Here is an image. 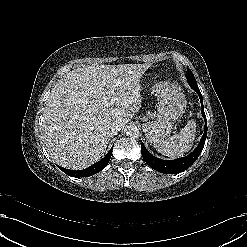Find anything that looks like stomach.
Returning <instances> with one entry per match:
<instances>
[{"mask_svg":"<svg viewBox=\"0 0 247 247\" xmlns=\"http://www.w3.org/2000/svg\"><path fill=\"white\" fill-rule=\"evenodd\" d=\"M152 93L158 97V118L144 125V132L149 142L157 143L166 137L174 122L183 115L186 100L181 90L168 82L153 86Z\"/></svg>","mask_w":247,"mask_h":247,"instance_id":"1","label":"stomach"}]
</instances>
